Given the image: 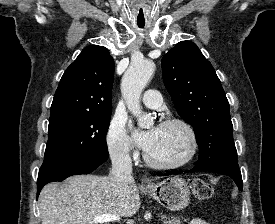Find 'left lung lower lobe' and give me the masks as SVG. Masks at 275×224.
<instances>
[{"label": "left lung lower lobe", "mask_w": 275, "mask_h": 224, "mask_svg": "<svg viewBox=\"0 0 275 224\" xmlns=\"http://www.w3.org/2000/svg\"><path fill=\"white\" fill-rule=\"evenodd\" d=\"M203 170L204 171H208L204 165H202V164H196L193 169L187 170L185 172L203 171ZM182 172L183 171H171V172L165 173L164 175H172V174H176L177 175V174H180ZM220 174L227 175V176L231 177L235 181V183L239 187V189L242 190V184H243V182H242L241 173H234L233 174V173H228V172H221Z\"/></svg>", "instance_id": "left-lung-lower-lobe-1"}]
</instances>
